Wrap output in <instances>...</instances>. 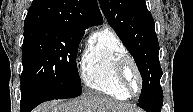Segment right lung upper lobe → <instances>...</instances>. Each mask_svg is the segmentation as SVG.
Here are the masks:
<instances>
[{
  "mask_svg": "<svg viewBox=\"0 0 193 112\" xmlns=\"http://www.w3.org/2000/svg\"><path fill=\"white\" fill-rule=\"evenodd\" d=\"M102 24L96 0H33L24 31L35 28L82 30Z\"/></svg>",
  "mask_w": 193,
  "mask_h": 112,
  "instance_id": "cb5924a9",
  "label": "right lung upper lobe"
}]
</instances>
